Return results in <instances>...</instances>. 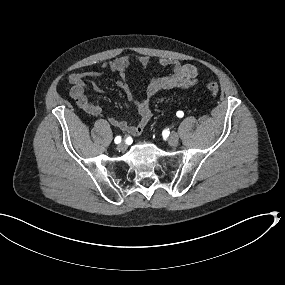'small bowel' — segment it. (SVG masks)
<instances>
[{"label":"small bowel","mask_w":285,"mask_h":285,"mask_svg":"<svg viewBox=\"0 0 285 285\" xmlns=\"http://www.w3.org/2000/svg\"><path fill=\"white\" fill-rule=\"evenodd\" d=\"M158 63L163 67H171L172 74L151 79L146 89V96L142 99H136L133 96L123 75L133 64L146 68L150 64L148 56L141 55L133 59L125 55L102 65L103 69L110 72H117L122 76L118 81V85L125 91L127 98L135 104L139 114V121L135 125H130L117 117H111L109 122L112 126L131 136L140 135L152 117L150 101L158 92L169 89H189L198 81L199 70L192 64H181L179 61L171 58H161ZM99 74V72L95 71H85L69 76V82L72 85L70 96L76 101L80 108L91 115H98L101 112L100 106L96 103L89 102L86 97V93L90 90L102 91L96 82Z\"/></svg>","instance_id":"c3829d8e"}]
</instances>
